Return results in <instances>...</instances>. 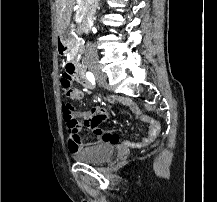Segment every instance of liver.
Wrapping results in <instances>:
<instances>
[{"label":"liver","instance_id":"6515ba94","mask_svg":"<svg viewBox=\"0 0 217 202\" xmlns=\"http://www.w3.org/2000/svg\"><path fill=\"white\" fill-rule=\"evenodd\" d=\"M57 14V32H66L76 0H55Z\"/></svg>","mask_w":217,"mask_h":202}]
</instances>
